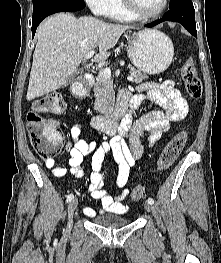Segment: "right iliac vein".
<instances>
[{
    "mask_svg": "<svg viewBox=\"0 0 221 263\" xmlns=\"http://www.w3.org/2000/svg\"><path fill=\"white\" fill-rule=\"evenodd\" d=\"M77 205H78V200L77 199L71 200V202L68 205L67 212H68V226L69 227L72 224V218H73L74 212H75V210L77 208Z\"/></svg>",
    "mask_w": 221,
    "mask_h": 263,
    "instance_id": "obj_1",
    "label": "right iliac vein"
}]
</instances>
